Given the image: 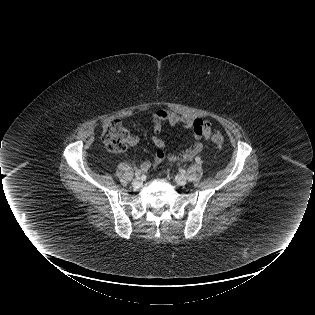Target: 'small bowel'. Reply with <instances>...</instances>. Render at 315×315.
<instances>
[{"instance_id":"small-bowel-1","label":"small bowel","mask_w":315,"mask_h":315,"mask_svg":"<svg viewBox=\"0 0 315 315\" xmlns=\"http://www.w3.org/2000/svg\"><path fill=\"white\" fill-rule=\"evenodd\" d=\"M151 120L153 123V135L150 137V140L157 150L151 161H145L141 164L140 168L144 172L164 161H187L194 158L203 148L201 140H208L211 135V123L209 121L196 119L187 115H179L167 109L153 112ZM164 123L172 126L181 125L185 129L191 130L196 142L190 144L180 152L169 151L166 148L164 140L158 136ZM139 142L140 139L138 136H130L128 139V145L132 147L138 145Z\"/></svg>"}]
</instances>
